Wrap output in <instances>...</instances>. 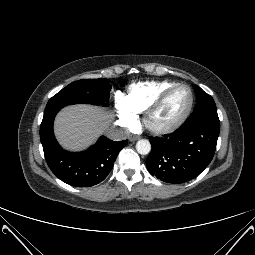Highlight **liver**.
<instances>
[{
    "label": "liver",
    "instance_id": "obj_1",
    "mask_svg": "<svg viewBox=\"0 0 255 255\" xmlns=\"http://www.w3.org/2000/svg\"><path fill=\"white\" fill-rule=\"evenodd\" d=\"M112 118L111 112L97 106L86 104L67 106L57 115L54 132L62 147L80 151L106 132Z\"/></svg>",
    "mask_w": 255,
    "mask_h": 255
}]
</instances>
